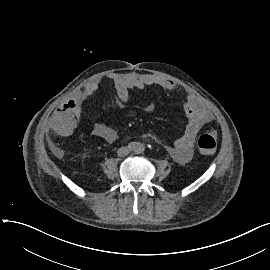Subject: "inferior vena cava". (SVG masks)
Listing matches in <instances>:
<instances>
[{
	"label": "inferior vena cava",
	"mask_w": 270,
	"mask_h": 270,
	"mask_svg": "<svg viewBox=\"0 0 270 270\" xmlns=\"http://www.w3.org/2000/svg\"><path fill=\"white\" fill-rule=\"evenodd\" d=\"M130 152V149L128 147H121L118 149V156L119 157H124L128 155Z\"/></svg>",
	"instance_id": "obj_1"
}]
</instances>
